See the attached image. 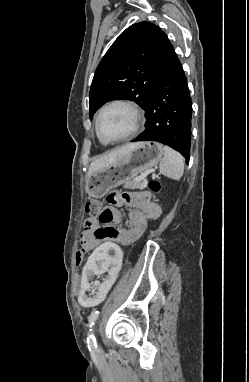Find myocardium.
I'll return each mask as SVG.
<instances>
[{
	"label": "myocardium",
	"instance_id": "obj_1",
	"mask_svg": "<svg viewBox=\"0 0 249 382\" xmlns=\"http://www.w3.org/2000/svg\"><path fill=\"white\" fill-rule=\"evenodd\" d=\"M114 106H122L130 111V113L132 114V119H133L132 129L128 134L124 136L114 138V139H106L100 133L99 122L103 113L107 109ZM143 124H144V115L142 111L140 110V108L135 103L125 99H115L103 105L98 111L96 119H95V131L101 142L105 144H113V143L123 142L133 138L137 134V132L140 130V128L143 126Z\"/></svg>",
	"mask_w": 249,
	"mask_h": 382
}]
</instances>
